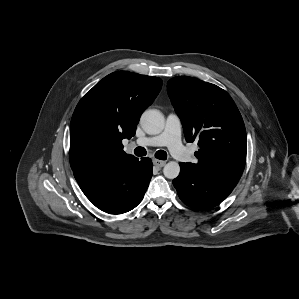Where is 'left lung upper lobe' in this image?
<instances>
[{
  "mask_svg": "<svg viewBox=\"0 0 299 299\" xmlns=\"http://www.w3.org/2000/svg\"><path fill=\"white\" fill-rule=\"evenodd\" d=\"M168 95L184 128L187 142L198 140L192 172L235 187L246 162L247 139L241 114L220 87L187 76L167 83Z\"/></svg>",
  "mask_w": 299,
  "mask_h": 299,
  "instance_id": "5c2ea615",
  "label": "left lung upper lobe"
}]
</instances>
